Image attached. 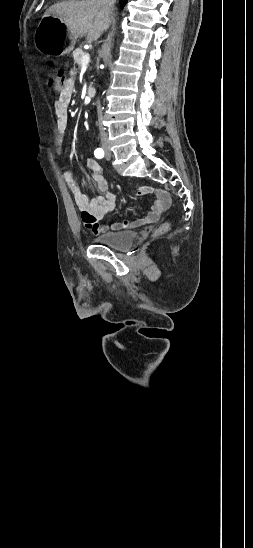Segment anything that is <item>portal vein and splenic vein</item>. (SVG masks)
Wrapping results in <instances>:
<instances>
[{"label":"portal vein and splenic vein","mask_w":253,"mask_h":548,"mask_svg":"<svg viewBox=\"0 0 253 548\" xmlns=\"http://www.w3.org/2000/svg\"><path fill=\"white\" fill-rule=\"evenodd\" d=\"M90 61V55L86 53L81 60L82 66H87Z\"/></svg>","instance_id":"1"}]
</instances>
